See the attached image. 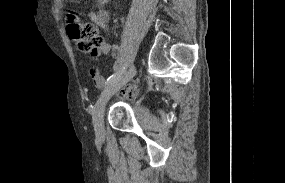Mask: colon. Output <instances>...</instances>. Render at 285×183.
<instances>
[{
	"label": "colon",
	"instance_id": "1",
	"mask_svg": "<svg viewBox=\"0 0 285 183\" xmlns=\"http://www.w3.org/2000/svg\"><path fill=\"white\" fill-rule=\"evenodd\" d=\"M67 33L73 41L77 42L81 50L92 54L103 42L94 26L80 24L75 18L68 20Z\"/></svg>",
	"mask_w": 285,
	"mask_h": 183
}]
</instances>
